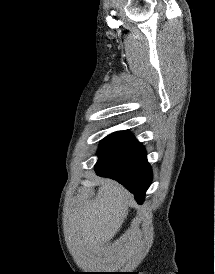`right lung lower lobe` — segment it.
<instances>
[{
  "label": "right lung lower lobe",
  "mask_w": 215,
  "mask_h": 274,
  "mask_svg": "<svg viewBox=\"0 0 215 274\" xmlns=\"http://www.w3.org/2000/svg\"><path fill=\"white\" fill-rule=\"evenodd\" d=\"M95 171L99 176L112 178L124 185L135 195L139 204H142L145 192L152 181V170L145 149L139 142L125 157L111 166H104L98 161Z\"/></svg>",
  "instance_id": "98d812e1"
}]
</instances>
